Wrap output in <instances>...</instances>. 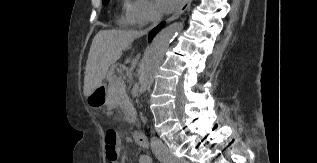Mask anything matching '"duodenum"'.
Wrapping results in <instances>:
<instances>
[{
	"label": "duodenum",
	"mask_w": 317,
	"mask_h": 163,
	"mask_svg": "<svg viewBox=\"0 0 317 163\" xmlns=\"http://www.w3.org/2000/svg\"><path fill=\"white\" fill-rule=\"evenodd\" d=\"M134 141L139 146L145 147L147 145V140L143 132L135 131L133 134Z\"/></svg>",
	"instance_id": "obj_1"
}]
</instances>
